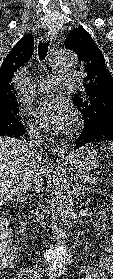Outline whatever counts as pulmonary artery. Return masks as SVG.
<instances>
[{
	"label": "pulmonary artery",
	"mask_w": 113,
	"mask_h": 279,
	"mask_svg": "<svg viewBox=\"0 0 113 279\" xmlns=\"http://www.w3.org/2000/svg\"><path fill=\"white\" fill-rule=\"evenodd\" d=\"M72 76L73 74L67 73L58 77L42 78L36 82L35 87L39 91L51 90L56 86V82L60 80L66 84L72 85L74 83V78Z\"/></svg>",
	"instance_id": "e3ab8cb5"
}]
</instances>
